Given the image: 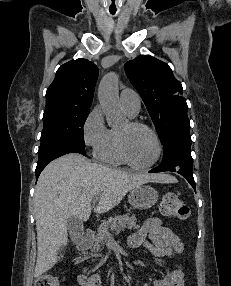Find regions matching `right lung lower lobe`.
<instances>
[{
  "label": "right lung lower lobe",
  "instance_id": "obj_1",
  "mask_svg": "<svg viewBox=\"0 0 231 286\" xmlns=\"http://www.w3.org/2000/svg\"><path fill=\"white\" fill-rule=\"evenodd\" d=\"M73 152L80 153L86 156L84 147L76 145V144H71V143L58 144V145L52 146L44 150L41 153H38L39 159H38L37 167L35 170L36 179L39 177L41 171L45 168V166L50 161L62 155L73 153Z\"/></svg>",
  "mask_w": 231,
  "mask_h": 286
}]
</instances>
